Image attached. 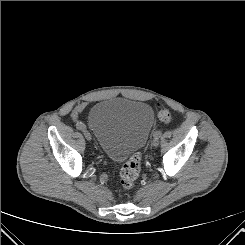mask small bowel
Returning <instances> with one entry per match:
<instances>
[{
  "label": "small bowel",
  "instance_id": "small-bowel-1",
  "mask_svg": "<svg viewBox=\"0 0 245 245\" xmlns=\"http://www.w3.org/2000/svg\"><path fill=\"white\" fill-rule=\"evenodd\" d=\"M85 105L83 103L79 104L78 106H76V108L74 109L73 113H72V118L74 120H76L79 116V114L82 112V110L84 109Z\"/></svg>",
  "mask_w": 245,
  "mask_h": 245
}]
</instances>
